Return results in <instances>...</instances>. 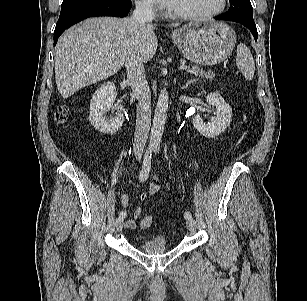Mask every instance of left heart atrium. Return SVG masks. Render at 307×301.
Listing matches in <instances>:
<instances>
[{
    "mask_svg": "<svg viewBox=\"0 0 307 301\" xmlns=\"http://www.w3.org/2000/svg\"><path fill=\"white\" fill-rule=\"evenodd\" d=\"M157 3L163 8H170L173 0H156Z\"/></svg>",
    "mask_w": 307,
    "mask_h": 301,
    "instance_id": "left-heart-atrium-1",
    "label": "left heart atrium"
}]
</instances>
